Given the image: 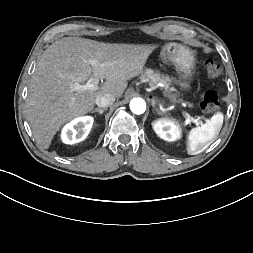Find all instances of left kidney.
I'll return each mask as SVG.
<instances>
[{
	"instance_id": "left-kidney-1",
	"label": "left kidney",
	"mask_w": 253,
	"mask_h": 253,
	"mask_svg": "<svg viewBox=\"0 0 253 253\" xmlns=\"http://www.w3.org/2000/svg\"><path fill=\"white\" fill-rule=\"evenodd\" d=\"M153 129L160 138L170 142L179 138L181 133L179 126L175 122L165 118L155 121Z\"/></svg>"
}]
</instances>
